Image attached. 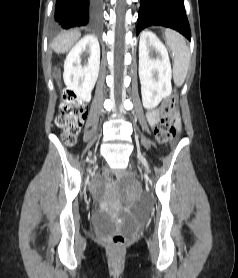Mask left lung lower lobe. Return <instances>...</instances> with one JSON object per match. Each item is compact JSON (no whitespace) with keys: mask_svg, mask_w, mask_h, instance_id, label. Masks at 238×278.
I'll list each match as a JSON object with an SVG mask.
<instances>
[{"mask_svg":"<svg viewBox=\"0 0 238 278\" xmlns=\"http://www.w3.org/2000/svg\"><path fill=\"white\" fill-rule=\"evenodd\" d=\"M152 25L175 29L189 40L191 39L183 0H140L137 35L144 28Z\"/></svg>","mask_w":238,"mask_h":278,"instance_id":"1","label":"left lung lower lobe"}]
</instances>
